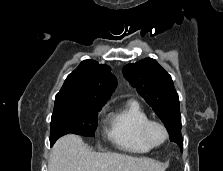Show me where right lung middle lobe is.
Segmentation results:
<instances>
[{"mask_svg":"<svg viewBox=\"0 0 223 171\" xmlns=\"http://www.w3.org/2000/svg\"><path fill=\"white\" fill-rule=\"evenodd\" d=\"M103 104L58 102L54 105L51 118V146L58 138L73 133L92 137L97 128V115Z\"/></svg>","mask_w":223,"mask_h":171,"instance_id":"obj_1","label":"right lung middle lobe"}]
</instances>
